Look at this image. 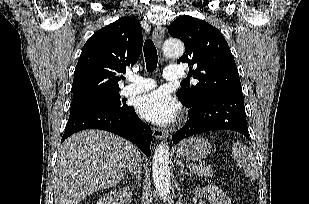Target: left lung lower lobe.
Wrapping results in <instances>:
<instances>
[{"mask_svg":"<svg viewBox=\"0 0 309 204\" xmlns=\"http://www.w3.org/2000/svg\"><path fill=\"white\" fill-rule=\"evenodd\" d=\"M187 107V124L173 136V142L211 130H233L249 138L244 98L240 94H220Z\"/></svg>","mask_w":309,"mask_h":204,"instance_id":"1","label":"left lung lower lobe"}]
</instances>
